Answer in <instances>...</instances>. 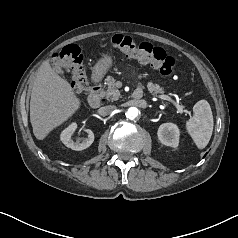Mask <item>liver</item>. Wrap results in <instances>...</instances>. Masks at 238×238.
Wrapping results in <instances>:
<instances>
[{
    "label": "liver",
    "instance_id": "liver-1",
    "mask_svg": "<svg viewBox=\"0 0 238 238\" xmlns=\"http://www.w3.org/2000/svg\"><path fill=\"white\" fill-rule=\"evenodd\" d=\"M80 100L70 84L50 66L39 67L30 99V122L34 136L43 140L48 133L68 120L79 108Z\"/></svg>",
    "mask_w": 238,
    "mask_h": 238
}]
</instances>
